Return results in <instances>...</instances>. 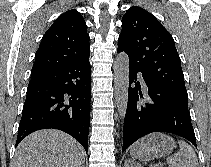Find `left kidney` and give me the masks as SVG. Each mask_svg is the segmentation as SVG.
<instances>
[{"mask_svg": "<svg viewBox=\"0 0 211 167\" xmlns=\"http://www.w3.org/2000/svg\"><path fill=\"white\" fill-rule=\"evenodd\" d=\"M124 167H142V166L134 161L126 160L124 163Z\"/></svg>", "mask_w": 211, "mask_h": 167, "instance_id": "5707ae66", "label": "left kidney"}]
</instances>
